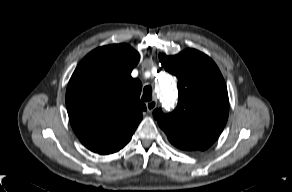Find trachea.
<instances>
[{
	"instance_id": "1",
	"label": "trachea",
	"mask_w": 292,
	"mask_h": 192,
	"mask_svg": "<svg viewBox=\"0 0 292 192\" xmlns=\"http://www.w3.org/2000/svg\"><path fill=\"white\" fill-rule=\"evenodd\" d=\"M142 100L143 101H151L152 100V88H151V86H145L144 87Z\"/></svg>"
}]
</instances>
